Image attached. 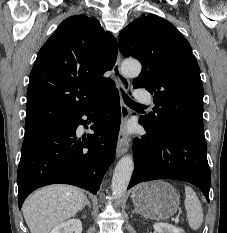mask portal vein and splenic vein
Wrapping results in <instances>:
<instances>
[{"instance_id":"1","label":"portal vein and splenic vein","mask_w":227,"mask_h":233,"mask_svg":"<svg viewBox=\"0 0 227 233\" xmlns=\"http://www.w3.org/2000/svg\"><path fill=\"white\" fill-rule=\"evenodd\" d=\"M174 222H175V224L179 223V216L178 215L174 218Z\"/></svg>"}]
</instances>
